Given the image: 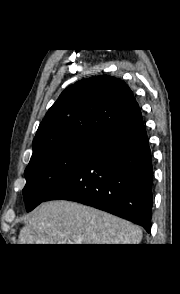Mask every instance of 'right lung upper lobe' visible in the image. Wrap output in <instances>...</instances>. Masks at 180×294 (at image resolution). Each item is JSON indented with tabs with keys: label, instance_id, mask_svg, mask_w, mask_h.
Wrapping results in <instances>:
<instances>
[{
	"label": "right lung upper lobe",
	"instance_id": "1",
	"mask_svg": "<svg viewBox=\"0 0 180 294\" xmlns=\"http://www.w3.org/2000/svg\"><path fill=\"white\" fill-rule=\"evenodd\" d=\"M139 108L121 80L94 76L66 88L38 127L33 154L55 144L88 139L99 141Z\"/></svg>",
	"mask_w": 180,
	"mask_h": 294
}]
</instances>
